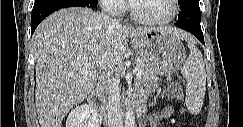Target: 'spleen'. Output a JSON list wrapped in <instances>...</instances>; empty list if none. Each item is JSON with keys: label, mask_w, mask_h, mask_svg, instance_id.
<instances>
[{"label": "spleen", "mask_w": 243, "mask_h": 127, "mask_svg": "<svg viewBox=\"0 0 243 127\" xmlns=\"http://www.w3.org/2000/svg\"><path fill=\"white\" fill-rule=\"evenodd\" d=\"M190 55L181 73L186 80L187 108L193 114H198L202 108L206 91V71L203 56L200 50L191 42L188 43Z\"/></svg>", "instance_id": "3e777b00"}]
</instances>
